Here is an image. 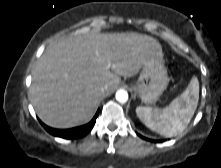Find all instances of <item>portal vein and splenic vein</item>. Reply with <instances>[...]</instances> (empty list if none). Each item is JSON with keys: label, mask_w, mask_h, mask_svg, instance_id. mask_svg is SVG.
Instances as JSON below:
<instances>
[{"label": "portal vein and splenic vein", "mask_w": 221, "mask_h": 168, "mask_svg": "<svg viewBox=\"0 0 221 168\" xmlns=\"http://www.w3.org/2000/svg\"><path fill=\"white\" fill-rule=\"evenodd\" d=\"M110 66H111V63H110V62H108V63H107V67L109 68Z\"/></svg>", "instance_id": "portal-vein-and-splenic-vein-1"}]
</instances>
